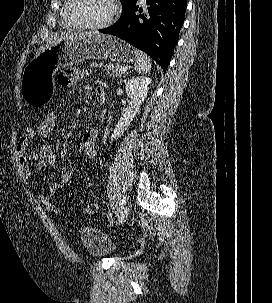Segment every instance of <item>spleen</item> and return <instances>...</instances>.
I'll return each mask as SVG.
<instances>
[{
  "mask_svg": "<svg viewBox=\"0 0 272 303\" xmlns=\"http://www.w3.org/2000/svg\"><path fill=\"white\" fill-rule=\"evenodd\" d=\"M137 60L135 62V71L140 74H146L151 70V63L149 57L142 51L135 49Z\"/></svg>",
  "mask_w": 272,
  "mask_h": 303,
  "instance_id": "1",
  "label": "spleen"
}]
</instances>
